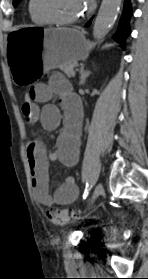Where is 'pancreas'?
Here are the masks:
<instances>
[{"mask_svg": "<svg viewBox=\"0 0 148 279\" xmlns=\"http://www.w3.org/2000/svg\"><path fill=\"white\" fill-rule=\"evenodd\" d=\"M76 64L77 62L70 61L61 64L59 67L69 78H72L75 76L74 67L76 66Z\"/></svg>", "mask_w": 148, "mask_h": 279, "instance_id": "obj_1", "label": "pancreas"}]
</instances>
